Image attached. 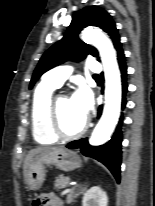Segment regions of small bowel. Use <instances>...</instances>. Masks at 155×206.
I'll use <instances>...</instances> for the list:
<instances>
[{
  "instance_id": "small-bowel-1",
  "label": "small bowel",
  "mask_w": 155,
  "mask_h": 206,
  "mask_svg": "<svg viewBox=\"0 0 155 206\" xmlns=\"http://www.w3.org/2000/svg\"><path fill=\"white\" fill-rule=\"evenodd\" d=\"M38 206H62V202L53 194H48L41 197Z\"/></svg>"
}]
</instances>
